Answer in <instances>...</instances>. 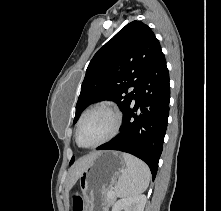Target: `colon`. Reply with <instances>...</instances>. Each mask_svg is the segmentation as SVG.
<instances>
[{
	"instance_id": "obj_1",
	"label": "colon",
	"mask_w": 221,
	"mask_h": 211,
	"mask_svg": "<svg viewBox=\"0 0 221 211\" xmlns=\"http://www.w3.org/2000/svg\"><path fill=\"white\" fill-rule=\"evenodd\" d=\"M73 211H84V202L78 195L73 197Z\"/></svg>"
}]
</instances>
